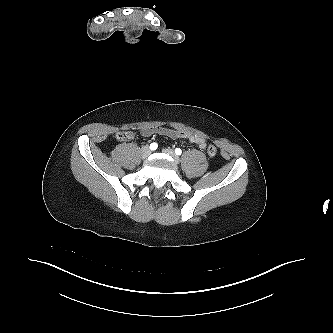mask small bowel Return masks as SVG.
Wrapping results in <instances>:
<instances>
[{"label": "small bowel", "instance_id": "obj_1", "mask_svg": "<svg viewBox=\"0 0 333 333\" xmlns=\"http://www.w3.org/2000/svg\"><path fill=\"white\" fill-rule=\"evenodd\" d=\"M141 133L143 136H150L153 133H158L160 135H165L171 138L181 137L187 139L191 143L198 145L201 149L206 147V140L203 137L186 131H180L166 127H147L142 129Z\"/></svg>", "mask_w": 333, "mask_h": 333}]
</instances>
